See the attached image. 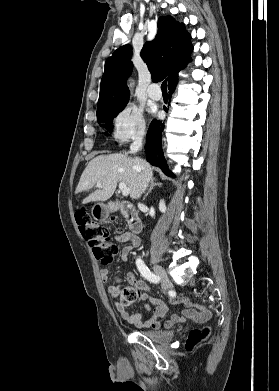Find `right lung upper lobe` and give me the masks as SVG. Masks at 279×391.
I'll use <instances>...</instances> for the list:
<instances>
[{
  "instance_id": "right-lung-upper-lobe-1",
  "label": "right lung upper lobe",
  "mask_w": 279,
  "mask_h": 391,
  "mask_svg": "<svg viewBox=\"0 0 279 391\" xmlns=\"http://www.w3.org/2000/svg\"><path fill=\"white\" fill-rule=\"evenodd\" d=\"M190 39L191 35L185 30L183 23L177 22L171 16L158 19V32L155 39L145 43L140 53L151 72L153 81L160 77H167L168 87L177 81L178 72L191 60L190 53L193 46ZM131 54L132 48L127 44L114 51L106 60L97 113L128 103L129 92L126 80L133 68Z\"/></svg>"
}]
</instances>
